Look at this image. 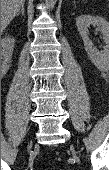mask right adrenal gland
<instances>
[{
    "instance_id": "right-adrenal-gland-1",
    "label": "right adrenal gland",
    "mask_w": 109,
    "mask_h": 170,
    "mask_svg": "<svg viewBox=\"0 0 109 170\" xmlns=\"http://www.w3.org/2000/svg\"><path fill=\"white\" fill-rule=\"evenodd\" d=\"M20 13H21L23 16L25 15L24 2L22 3L20 10L17 12V16H18Z\"/></svg>"
}]
</instances>
